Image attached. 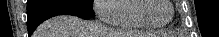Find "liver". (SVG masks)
<instances>
[{
  "instance_id": "1",
  "label": "liver",
  "mask_w": 219,
  "mask_h": 37,
  "mask_svg": "<svg viewBox=\"0 0 219 37\" xmlns=\"http://www.w3.org/2000/svg\"><path fill=\"white\" fill-rule=\"evenodd\" d=\"M95 23L79 17L61 15L43 22L33 37H96L93 34ZM107 37H127L126 33H111Z\"/></svg>"
}]
</instances>
